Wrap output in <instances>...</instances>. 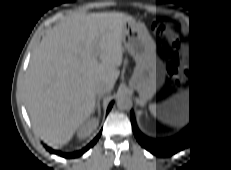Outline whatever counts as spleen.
Segmentation results:
<instances>
[{
  "mask_svg": "<svg viewBox=\"0 0 231 170\" xmlns=\"http://www.w3.org/2000/svg\"><path fill=\"white\" fill-rule=\"evenodd\" d=\"M150 109L164 122L176 127L184 126L189 122V92L176 95L157 109L156 106Z\"/></svg>",
  "mask_w": 231,
  "mask_h": 170,
  "instance_id": "3e777b00",
  "label": "spleen"
}]
</instances>
